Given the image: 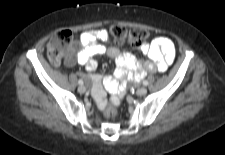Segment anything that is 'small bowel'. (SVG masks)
Returning <instances> with one entry per match:
<instances>
[{
  "label": "small bowel",
  "mask_w": 225,
  "mask_h": 155,
  "mask_svg": "<svg viewBox=\"0 0 225 155\" xmlns=\"http://www.w3.org/2000/svg\"><path fill=\"white\" fill-rule=\"evenodd\" d=\"M109 40V32L105 29L83 32L72 44V52L65 59L68 66L77 62L86 67L93 87V96L101 110L107 106L106 91L111 93L109 99L113 105L119 107L123 103L121 96L127 82L141 80L147 71L163 72L175 58L174 44L167 37H157L152 42L140 46L141 52L150 60L144 65L130 53L121 52L116 47H106L103 43ZM102 54H107L115 60V78H102L96 73L98 63L94 57Z\"/></svg>",
  "instance_id": "obj_1"
}]
</instances>
